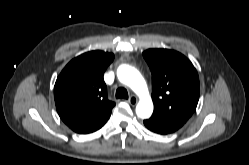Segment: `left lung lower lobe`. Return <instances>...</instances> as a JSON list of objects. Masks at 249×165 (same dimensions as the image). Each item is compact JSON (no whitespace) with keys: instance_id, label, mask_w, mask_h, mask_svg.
<instances>
[{"instance_id":"left-lung-lower-lobe-1","label":"left lung lower lobe","mask_w":249,"mask_h":165,"mask_svg":"<svg viewBox=\"0 0 249 165\" xmlns=\"http://www.w3.org/2000/svg\"><path fill=\"white\" fill-rule=\"evenodd\" d=\"M144 125L158 134H169L177 131L184 123L152 115L150 119L144 120Z\"/></svg>"}]
</instances>
